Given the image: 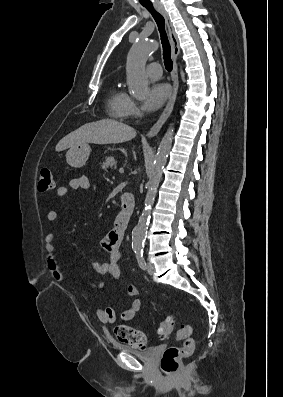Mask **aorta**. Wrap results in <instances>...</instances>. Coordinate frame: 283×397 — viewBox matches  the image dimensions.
I'll return each mask as SVG.
<instances>
[{
  "label": "aorta",
  "mask_w": 283,
  "mask_h": 397,
  "mask_svg": "<svg viewBox=\"0 0 283 397\" xmlns=\"http://www.w3.org/2000/svg\"><path fill=\"white\" fill-rule=\"evenodd\" d=\"M157 44L150 41H139L133 44L127 56L126 76L127 85L131 94L138 99H143L148 93V80L145 74V64L148 57L156 50ZM174 134L173 124H170L162 138L157 153L154 157L152 170L148 181V190L145 197V207L139 217L137 225L132 231V248L142 250L150 220L151 209L155 201L157 189L162 177L168 153L172 146Z\"/></svg>",
  "instance_id": "aorta-1"
}]
</instances>
